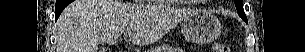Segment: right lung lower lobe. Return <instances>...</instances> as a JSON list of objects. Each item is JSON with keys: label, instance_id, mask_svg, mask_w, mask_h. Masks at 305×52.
I'll use <instances>...</instances> for the list:
<instances>
[{"label": "right lung lower lobe", "instance_id": "obj_1", "mask_svg": "<svg viewBox=\"0 0 305 52\" xmlns=\"http://www.w3.org/2000/svg\"><path fill=\"white\" fill-rule=\"evenodd\" d=\"M71 2L72 0H56V7H55L56 20L60 16L63 9Z\"/></svg>", "mask_w": 305, "mask_h": 52}]
</instances>
